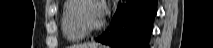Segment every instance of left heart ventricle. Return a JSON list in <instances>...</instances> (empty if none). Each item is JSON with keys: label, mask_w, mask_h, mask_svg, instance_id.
I'll use <instances>...</instances> for the list:
<instances>
[{"label": "left heart ventricle", "mask_w": 213, "mask_h": 48, "mask_svg": "<svg viewBox=\"0 0 213 48\" xmlns=\"http://www.w3.org/2000/svg\"><path fill=\"white\" fill-rule=\"evenodd\" d=\"M82 16L88 25H96L100 21L97 5L94 2L86 4L82 9Z\"/></svg>", "instance_id": "left-heart-ventricle-1"}]
</instances>
